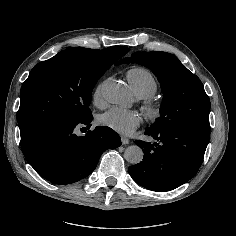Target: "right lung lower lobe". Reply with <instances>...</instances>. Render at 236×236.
<instances>
[{
	"mask_svg": "<svg viewBox=\"0 0 236 236\" xmlns=\"http://www.w3.org/2000/svg\"><path fill=\"white\" fill-rule=\"evenodd\" d=\"M92 119L91 115L79 123L49 122L22 136L21 148L27 162L55 184H70L87 177L105 150L122 144L109 127L97 126L86 132ZM80 127L86 132L83 136L77 131Z\"/></svg>",
	"mask_w": 236,
	"mask_h": 236,
	"instance_id": "right-lung-lower-lobe-1",
	"label": "right lung lower lobe"
}]
</instances>
